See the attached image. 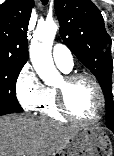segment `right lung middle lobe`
I'll use <instances>...</instances> for the list:
<instances>
[{
	"instance_id": "right-lung-middle-lobe-1",
	"label": "right lung middle lobe",
	"mask_w": 114,
	"mask_h": 156,
	"mask_svg": "<svg viewBox=\"0 0 114 156\" xmlns=\"http://www.w3.org/2000/svg\"><path fill=\"white\" fill-rule=\"evenodd\" d=\"M24 65L0 61V112H22L16 98L15 87Z\"/></svg>"
}]
</instances>
